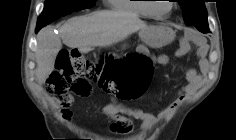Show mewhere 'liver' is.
Wrapping results in <instances>:
<instances>
[{"label": "liver", "mask_w": 236, "mask_h": 140, "mask_svg": "<svg viewBox=\"0 0 236 140\" xmlns=\"http://www.w3.org/2000/svg\"><path fill=\"white\" fill-rule=\"evenodd\" d=\"M148 27L137 15L126 12L97 11L73 17L59 29L43 28L37 35L36 78L40 84L53 72L62 41L71 48L87 52L91 47L110 46Z\"/></svg>", "instance_id": "1"}]
</instances>
